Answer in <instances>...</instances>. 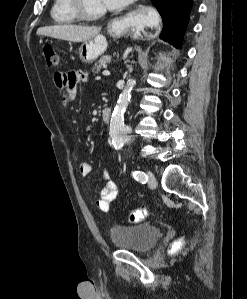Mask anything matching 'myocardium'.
I'll use <instances>...</instances> for the list:
<instances>
[{
    "instance_id": "myocardium-1",
    "label": "myocardium",
    "mask_w": 247,
    "mask_h": 299,
    "mask_svg": "<svg viewBox=\"0 0 247 299\" xmlns=\"http://www.w3.org/2000/svg\"><path fill=\"white\" fill-rule=\"evenodd\" d=\"M71 7L81 20H97L106 14V9L92 12L88 10L85 0H70Z\"/></svg>"
}]
</instances>
